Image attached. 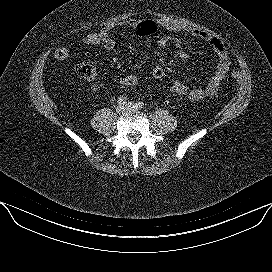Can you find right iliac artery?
I'll return each instance as SVG.
<instances>
[{
	"instance_id": "82829eb1",
	"label": "right iliac artery",
	"mask_w": 272,
	"mask_h": 272,
	"mask_svg": "<svg viewBox=\"0 0 272 272\" xmlns=\"http://www.w3.org/2000/svg\"><path fill=\"white\" fill-rule=\"evenodd\" d=\"M126 100H127V98L125 96H120L118 98V104L119 105H124L126 103Z\"/></svg>"
}]
</instances>
